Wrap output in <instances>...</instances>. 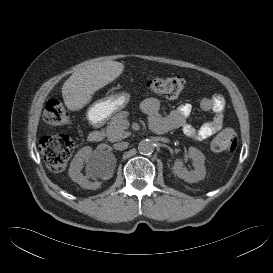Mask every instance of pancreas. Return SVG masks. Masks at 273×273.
<instances>
[{
  "label": "pancreas",
  "mask_w": 273,
  "mask_h": 273,
  "mask_svg": "<svg viewBox=\"0 0 273 273\" xmlns=\"http://www.w3.org/2000/svg\"><path fill=\"white\" fill-rule=\"evenodd\" d=\"M127 117H128L127 111H120L111 118L105 130L106 137L109 141L115 142L129 136V132L125 131L126 126L124 125V123L127 120Z\"/></svg>",
  "instance_id": "obj_1"
}]
</instances>
